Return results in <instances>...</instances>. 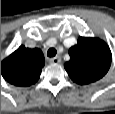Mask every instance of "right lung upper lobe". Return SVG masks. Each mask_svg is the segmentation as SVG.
I'll return each instance as SVG.
<instances>
[{
  "label": "right lung upper lobe",
  "instance_id": "obj_1",
  "mask_svg": "<svg viewBox=\"0 0 115 114\" xmlns=\"http://www.w3.org/2000/svg\"><path fill=\"white\" fill-rule=\"evenodd\" d=\"M44 64V55L40 49L21 45L1 62V74L13 85L30 86L39 79Z\"/></svg>",
  "mask_w": 115,
  "mask_h": 114
}]
</instances>
